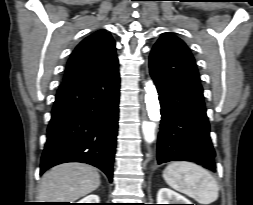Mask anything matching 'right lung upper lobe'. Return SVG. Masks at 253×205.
I'll return each mask as SVG.
<instances>
[{"instance_id":"right-lung-upper-lobe-1","label":"right lung upper lobe","mask_w":253,"mask_h":205,"mask_svg":"<svg viewBox=\"0 0 253 205\" xmlns=\"http://www.w3.org/2000/svg\"><path fill=\"white\" fill-rule=\"evenodd\" d=\"M117 61L115 42L106 30L85 38L73 51L63 82L98 73Z\"/></svg>"}]
</instances>
